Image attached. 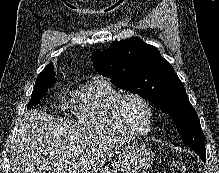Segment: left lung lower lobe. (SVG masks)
<instances>
[{
  "label": "left lung lower lobe",
  "mask_w": 219,
  "mask_h": 173,
  "mask_svg": "<svg viewBox=\"0 0 219 173\" xmlns=\"http://www.w3.org/2000/svg\"><path fill=\"white\" fill-rule=\"evenodd\" d=\"M196 153L203 160V162H206V153H203V152H196Z\"/></svg>",
  "instance_id": "0a47b994"
}]
</instances>
